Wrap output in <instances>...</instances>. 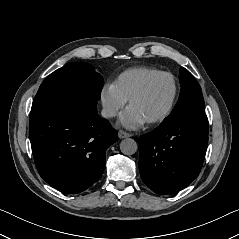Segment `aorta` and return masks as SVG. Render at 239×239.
<instances>
[{"label": "aorta", "instance_id": "1", "mask_svg": "<svg viewBox=\"0 0 239 239\" xmlns=\"http://www.w3.org/2000/svg\"><path fill=\"white\" fill-rule=\"evenodd\" d=\"M138 145L134 139L126 138L120 143V150L125 155H133L136 153Z\"/></svg>", "mask_w": 239, "mask_h": 239}]
</instances>
